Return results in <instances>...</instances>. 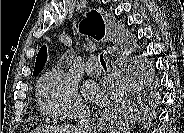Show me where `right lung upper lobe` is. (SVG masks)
<instances>
[{"instance_id":"right-lung-upper-lobe-1","label":"right lung upper lobe","mask_w":184,"mask_h":133,"mask_svg":"<svg viewBox=\"0 0 184 133\" xmlns=\"http://www.w3.org/2000/svg\"><path fill=\"white\" fill-rule=\"evenodd\" d=\"M79 31L92 36L94 39L100 40L105 34L104 21L101 15L95 10H92L80 23ZM46 61L47 48L46 46H42L36 58L33 76H37L42 71Z\"/></svg>"}]
</instances>
